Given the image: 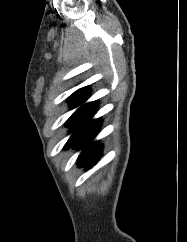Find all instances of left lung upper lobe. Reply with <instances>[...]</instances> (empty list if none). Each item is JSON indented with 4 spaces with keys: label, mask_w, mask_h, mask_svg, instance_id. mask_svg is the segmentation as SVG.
<instances>
[{
    "label": "left lung upper lobe",
    "mask_w": 187,
    "mask_h": 242,
    "mask_svg": "<svg viewBox=\"0 0 187 242\" xmlns=\"http://www.w3.org/2000/svg\"><path fill=\"white\" fill-rule=\"evenodd\" d=\"M90 93L91 88L86 86L75 91L68 98L70 108L80 107L67 120V122L71 124L69 132H71L72 135L65 144L64 148L72 147L76 141L99 120L92 119L99 107L98 100L85 103V101L89 98Z\"/></svg>",
    "instance_id": "1"
}]
</instances>
